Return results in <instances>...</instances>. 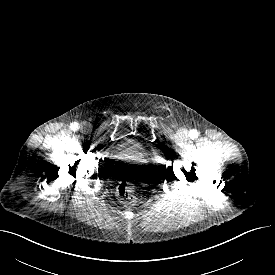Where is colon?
<instances>
[{
    "label": "colon",
    "mask_w": 275,
    "mask_h": 275,
    "mask_svg": "<svg viewBox=\"0 0 275 275\" xmlns=\"http://www.w3.org/2000/svg\"><path fill=\"white\" fill-rule=\"evenodd\" d=\"M135 190L136 187L132 182L123 181L118 185L117 195L122 203L130 205L136 200Z\"/></svg>",
    "instance_id": "5ec220e1"
}]
</instances>
